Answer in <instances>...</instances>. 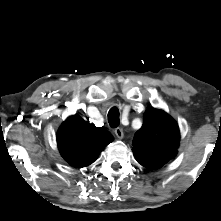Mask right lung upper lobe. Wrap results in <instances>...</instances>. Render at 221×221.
<instances>
[{"label":"right lung upper lobe","mask_w":221,"mask_h":221,"mask_svg":"<svg viewBox=\"0 0 221 221\" xmlns=\"http://www.w3.org/2000/svg\"><path fill=\"white\" fill-rule=\"evenodd\" d=\"M112 141L113 137L106 129L89 124L78 115L67 118L57 134L63 158L76 168L93 163L99 152Z\"/></svg>","instance_id":"right-lung-upper-lobe-1"}]
</instances>
